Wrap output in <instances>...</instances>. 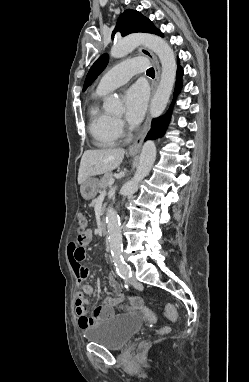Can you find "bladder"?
<instances>
[{"mask_svg":"<svg viewBox=\"0 0 249 382\" xmlns=\"http://www.w3.org/2000/svg\"><path fill=\"white\" fill-rule=\"evenodd\" d=\"M144 321L136 314L114 315L84 331L85 339L112 350L122 349L142 329Z\"/></svg>","mask_w":249,"mask_h":382,"instance_id":"1","label":"bladder"}]
</instances>
